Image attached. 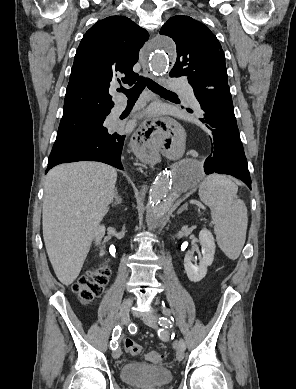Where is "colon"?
Masks as SVG:
<instances>
[{
	"label": "colon",
	"instance_id": "5ec220e1",
	"mask_svg": "<svg viewBox=\"0 0 296 389\" xmlns=\"http://www.w3.org/2000/svg\"><path fill=\"white\" fill-rule=\"evenodd\" d=\"M110 278V269L107 263L96 267L86 274L82 275L77 282L73 284V291L77 294L82 304H89L96 297H98L104 287L107 285ZM125 350L133 356L140 355L142 349L132 339L124 341ZM145 359L152 363H161L164 361V355L155 350H149L144 353Z\"/></svg>",
	"mask_w": 296,
	"mask_h": 389
}]
</instances>
